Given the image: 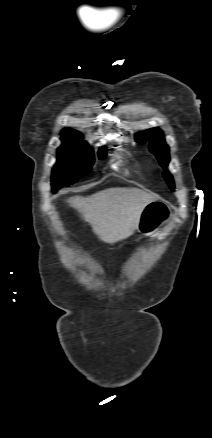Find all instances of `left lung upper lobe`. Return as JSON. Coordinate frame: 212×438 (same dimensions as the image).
Instances as JSON below:
<instances>
[{"mask_svg":"<svg viewBox=\"0 0 212 438\" xmlns=\"http://www.w3.org/2000/svg\"><path fill=\"white\" fill-rule=\"evenodd\" d=\"M135 140L139 143L149 141L150 152L155 154L160 162V165L165 169L163 175L168 182L170 188L174 190V182L172 176L167 171L169 162V147L164 140L163 132L159 128H152L146 131L139 132L135 135Z\"/></svg>","mask_w":212,"mask_h":438,"instance_id":"left-lung-upper-lobe-1","label":"left lung upper lobe"}]
</instances>
